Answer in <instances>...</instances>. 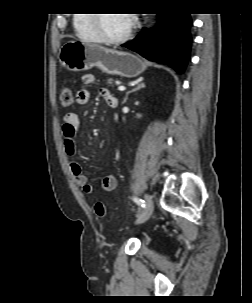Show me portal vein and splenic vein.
I'll return each instance as SVG.
<instances>
[{
  "label": "portal vein and splenic vein",
  "mask_w": 252,
  "mask_h": 303,
  "mask_svg": "<svg viewBox=\"0 0 252 303\" xmlns=\"http://www.w3.org/2000/svg\"><path fill=\"white\" fill-rule=\"evenodd\" d=\"M125 89H126V88H125L124 86H119V87H118V90H119V91H124Z\"/></svg>",
  "instance_id": "18ae733b"
}]
</instances>
